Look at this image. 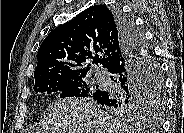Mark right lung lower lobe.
<instances>
[{"label":"right lung lower lobe","mask_w":184,"mask_h":133,"mask_svg":"<svg viewBox=\"0 0 184 133\" xmlns=\"http://www.w3.org/2000/svg\"><path fill=\"white\" fill-rule=\"evenodd\" d=\"M114 14L122 37V48L106 68L115 87L88 96L103 106H110L121 96H138L146 84L148 55L144 39L138 37L132 20L119 10H114Z\"/></svg>","instance_id":"right-lung-lower-lobe-1"}]
</instances>
